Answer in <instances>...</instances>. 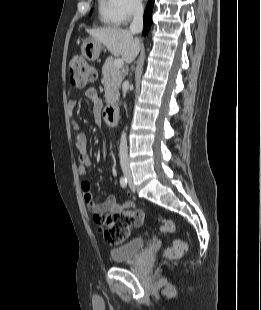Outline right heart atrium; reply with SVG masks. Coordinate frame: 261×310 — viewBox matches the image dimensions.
Returning <instances> with one entry per match:
<instances>
[{
    "label": "right heart atrium",
    "instance_id": "obj_1",
    "mask_svg": "<svg viewBox=\"0 0 261 310\" xmlns=\"http://www.w3.org/2000/svg\"><path fill=\"white\" fill-rule=\"evenodd\" d=\"M115 10L121 24L130 22L143 11L141 0H115Z\"/></svg>",
    "mask_w": 261,
    "mask_h": 310
}]
</instances>
